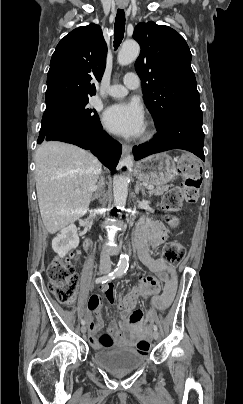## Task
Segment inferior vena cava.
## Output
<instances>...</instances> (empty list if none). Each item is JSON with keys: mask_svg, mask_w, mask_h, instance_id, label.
I'll list each match as a JSON object with an SVG mask.
<instances>
[{"mask_svg": "<svg viewBox=\"0 0 243 404\" xmlns=\"http://www.w3.org/2000/svg\"><path fill=\"white\" fill-rule=\"evenodd\" d=\"M103 180V178H102ZM100 264H99V272L100 273H105V274H110L111 273V260H110V254L107 252V250H102V254L100 256Z\"/></svg>", "mask_w": 243, "mask_h": 404, "instance_id": "inferior-vena-cava-1", "label": "inferior vena cava"}]
</instances>
